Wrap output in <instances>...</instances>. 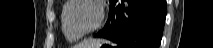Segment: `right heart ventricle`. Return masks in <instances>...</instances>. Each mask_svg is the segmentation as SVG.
I'll return each instance as SVG.
<instances>
[{
	"mask_svg": "<svg viewBox=\"0 0 213 48\" xmlns=\"http://www.w3.org/2000/svg\"><path fill=\"white\" fill-rule=\"evenodd\" d=\"M62 32H63L65 38H66L69 42H75V41H77V40L79 39V38H77V37H74V36L69 35V34L63 29V26H62Z\"/></svg>",
	"mask_w": 213,
	"mask_h": 48,
	"instance_id": "e07e8e85",
	"label": "right heart ventricle"
}]
</instances>
